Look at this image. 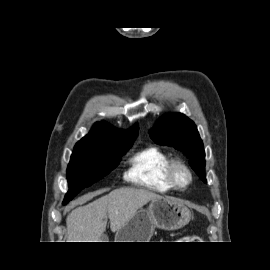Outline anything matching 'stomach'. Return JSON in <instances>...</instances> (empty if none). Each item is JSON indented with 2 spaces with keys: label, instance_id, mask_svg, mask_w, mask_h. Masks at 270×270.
I'll return each instance as SVG.
<instances>
[{
  "label": "stomach",
  "instance_id": "1",
  "mask_svg": "<svg viewBox=\"0 0 270 270\" xmlns=\"http://www.w3.org/2000/svg\"><path fill=\"white\" fill-rule=\"evenodd\" d=\"M191 219L183 203L169 197L152 200L147 209H139L115 235V242H148L156 227L177 230Z\"/></svg>",
  "mask_w": 270,
  "mask_h": 270
}]
</instances>
